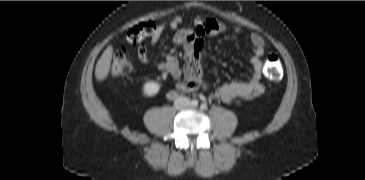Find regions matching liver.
I'll return each mask as SVG.
<instances>
[{
  "mask_svg": "<svg viewBox=\"0 0 365 180\" xmlns=\"http://www.w3.org/2000/svg\"><path fill=\"white\" fill-rule=\"evenodd\" d=\"M112 54L113 47L112 45H109L97 61L95 67V77L98 81H103L108 77L111 67Z\"/></svg>",
  "mask_w": 365,
  "mask_h": 180,
  "instance_id": "1",
  "label": "liver"
}]
</instances>
